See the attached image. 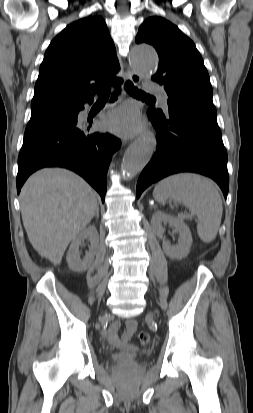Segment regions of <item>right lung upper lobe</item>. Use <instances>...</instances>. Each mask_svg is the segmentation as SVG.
<instances>
[{"mask_svg":"<svg viewBox=\"0 0 253 413\" xmlns=\"http://www.w3.org/2000/svg\"><path fill=\"white\" fill-rule=\"evenodd\" d=\"M119 70L115 46L101 16L71 23L53 39L44 55L32 114L92 103L94 92L113 83Z\"/></svg>","mask_w":253,"mask_h":413,"instance_id":"obj_1","label":"right lung upper lobe"}]
</instances>
